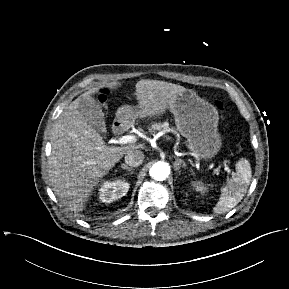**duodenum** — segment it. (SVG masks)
Returning <instances> with one entry per match:
<instances>
[{
    "label": "duodenum",
    "instance_id": "obj_1",
    "mask_svg": "<svg viewBox=\"0 0 289 289\" xmlns=\"http://www.w3.org/2000/svg\"><path fill=\"white\" fill-rule=\"evenodd\" d=\"M130 127V122L126 118H119L113 125V131L117 135L125 133Z\"/></svg>",
    "mask_w": 289,
    "mask_h": 289
}]
</instances>
